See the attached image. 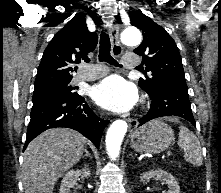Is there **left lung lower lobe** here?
<instances>
[{
	"label": "left lung lower lobe",
	"instance_id": "obj_1",
	"mask_svg": "<svg viewBox=\"0 0 221 193\" xmlns=\"http://www.w3.org/2000/svg\"><path fill=\"white\" fill-rule=\"evenodd\" d=\"M148 95L151 106L147 114L139 120V126L152 119L171 115L180 116L196 126L186 83H160L153 92H148Z\"/></svg>",
	"mask_w": 221,
	"mask_h": 193
}]
</instances>
